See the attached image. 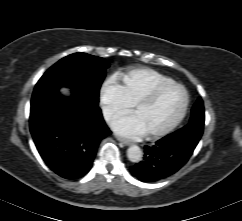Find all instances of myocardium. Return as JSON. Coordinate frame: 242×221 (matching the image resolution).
<instances>
[{"label":"myocardium","instance_id":"f54148a6","mask_svg":"<svg viewBox=\"0 0 242 221\" xmlns=\"http://www.w3.org/2000/svg\"><path fill=\"white\" fill-rule=\"evenodd\" d=\"M171 86L180 88L184 94V103H183L182 109H181L179 115L177 116V118L169 126H167L166 128H164L160 131L147 133L146 136L149 139H158V138L164 137V136L172 133L180 125V123L185 118L188 108H189L190 98H189L188 91L182 84L171 80V81L157 84L156 86L151 88L145 95H143L134 104L133 110L135 111L139 107L150 104L162 90H164L167 87H171Z\"/></svg>","mask_w":242,"mask_h":221}]
</instances>
